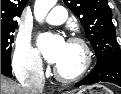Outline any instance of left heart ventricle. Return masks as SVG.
I'll return each mask as SVG.
<instances>
[{"label":"left heart ventricle","instance_id":"left-heart-ventricle-1","mask_svg":"<svg viewBox=\"0 0 121 94\" xmlns=\"http://www.w3.org/2000/svg\"><path fill=\"white\" fill-rule=\"evenodd\" d=\"M82 62L83 54L80 47L67 43L65 51L56 66L63 74L68 75L77 72L80 69Z\"/></svg>","mask_w":121,"mask_h":94}]
</instances>
